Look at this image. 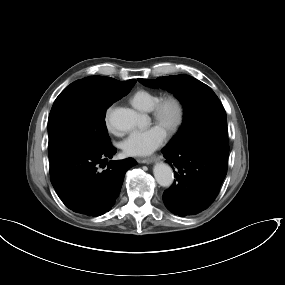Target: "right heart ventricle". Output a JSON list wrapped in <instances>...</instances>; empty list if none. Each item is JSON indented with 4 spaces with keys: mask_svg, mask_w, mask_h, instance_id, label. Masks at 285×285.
Returning a JSON list of instances; mask_svg holds the SVG:
<instances>
[{
    "mask_svg": "<svg viewBox=\"0 0 285 285\" xmlns=\"http://www.w3.org/2000/svg\"><path fill=\"white\" fill-rule=\"evenodd\" d=\"M159 99L160 96L156 93L140 89L130 97V103L137 110L150 111Z\"/></svg>",
    "mask_w": 285,
    "mask_h": 285,
    "instance_id": "1",
    "label": "right heart ventricle"
}]
</instances>
